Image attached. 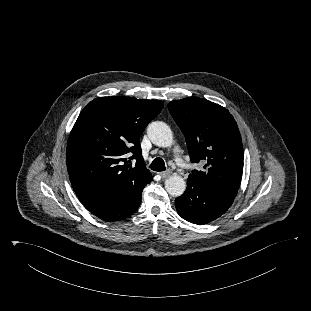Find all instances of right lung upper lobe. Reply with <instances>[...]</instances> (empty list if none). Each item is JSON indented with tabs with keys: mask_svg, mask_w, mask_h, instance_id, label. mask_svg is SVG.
Here are the masks:
<instances>
[{
	"mask_svg": "<svg viewBox=\"0 0 311 311\" xmlns=\"http://www.w3.org/2000/svg\"><path fill=\"white\" fill-rule=\"evenodd\" d=\"M160 100L101 97L81 111L70 133L66 157L79 199L130 201L151 182L140 148L145 127L162 110ZM132 153L130 159L125 158Z\"/></svg>",
	"mask_w": 311,
	"mask_h": 311,
	"instance_id": "right-lung-upper-lobe-1",
	"label": "right lung upper lobe"
}]
</instances>
